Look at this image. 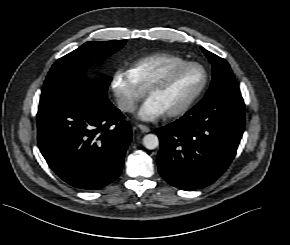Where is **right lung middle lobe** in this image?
Instances as JSON below:
<instances>
[{
    "mask_svg": "<svg viewBox=\"0 0 290 245\" xmlns=\"http://www.w3.org/2000/svg\"><path fill=\"white\" fill-rule=\"evenodd\" d=\"M125 43L126 40L86 42L58 59L46 77L39 105L68 100L84 93L107 98L111 77L102 76L91 82L85 71L90 63L117 52Z\"/></svg>",
    "mask_w": 290,
    "mask_h": 245,
    "instance_id": "dd1d6c3e",
    "label": "right lung middle lobe"
}]
</instances>
